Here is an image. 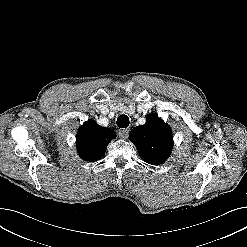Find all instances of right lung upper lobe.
Masks as SVG:
<instances>
[{
  "mask_svg": "<svg viewBox=\"0 0 247 247\" xmlns=\"http://www.w3.org/2000/svg\"><path fill=\"white\" fill-rule=\"evenodd\" d=\"M116 134L110 128L99 126L94 120L86 121L77 133V148L82 159L97 161L103 157L107 145Z\"/></svg>",
  "mask_w": 247,
  "mask_h": 247,
  "instance_id": "obj_1",
  "label": "right lung upper lobe"
}]
</instances>
